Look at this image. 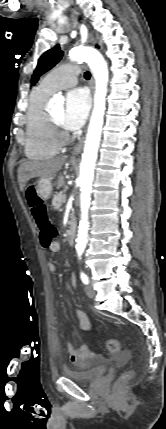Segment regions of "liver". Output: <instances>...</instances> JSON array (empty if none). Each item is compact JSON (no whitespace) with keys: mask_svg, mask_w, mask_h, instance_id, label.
I'll return each instance as SVG.
<instances>
[{"mask_svg":"<svg viewBox=\"0 0 166 429\" xmlns=\"http://www.w3.org/2000/svg\"><path fill=\"white\" fill-rule=\"evenodd\" d=\"M66 156L57 157L48 161H25L18 168V182L23 191L26 183L36 177H51L60 171L66 160ZM63 184V177H58V187Z\"/></svg>","mask_w":166,"mask_h":429,"instance_id":"obj_1","label":"liver"}]
</instances>
